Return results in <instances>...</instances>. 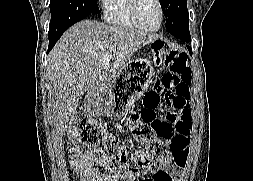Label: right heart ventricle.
Returning a JSON list of instances; mask_svg holds the SVG:
<instances>
[{
    "label": "right heart ventricle",
    "mask_w": 253,
    "mask_h": 181,
    "mask_svg": "<svg viewBox=\"0 0 253 181\" xmlns=\"http://www.w3.org/2000/svg\"><path fill=\"white\" fill-rule=\"evenodd\" d=\"M105 21L118 28L137 29L129 13V0H102Z\"/></svg>",
    "instance_id": "right-heart-ventricle-1"
}]
</instances>
